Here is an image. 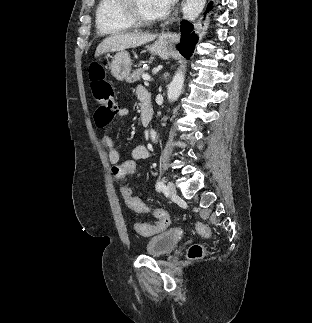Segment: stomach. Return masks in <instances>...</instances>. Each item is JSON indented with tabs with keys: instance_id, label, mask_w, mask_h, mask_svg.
Listing matches in <instances>:
<instances>
[{
	"instance_id": "1",
	"label": "stomach",
	"mask_w": 312,
	"mask_h": 323,
	"mask_svg": "<svg viewBox=\"0 0 312 323\" xmlns=\"http://www.w3.org/2000/svg\"><path fill=\"white\" fill-rule=\"evenodd\" d=\"M170 40L167 36H159L158 40L152 44V46H148L149 52L151 54H156L162 60H168L170 56ZM132 60L125 50L122 52H117L114 58H112V62L110 64V72L116 80H126L131 72Z\"/></svg>"
}]
</instances>
